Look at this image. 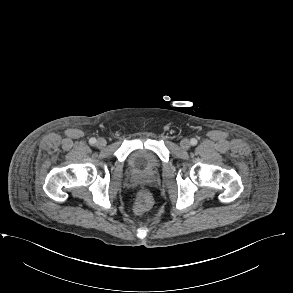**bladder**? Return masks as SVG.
Segmentation results:
<instances>
[{
  "instance_id": "31cf9c89",
  "label": "bladder",
  "mask_w": 293,
  "mask_h": 293,
  "mask_svg": "<svg viewBox=\"0 0 293 293\" xmlns=\"http://www.w3.org/2000/svg\"><path fill=\"white\" fill-rule=\"evenodd\" d=\"M132 170L145 177H154L160 171V161L155 153L146 149L135 151L129 159Z\"/></svg>"
}]
</instances>
